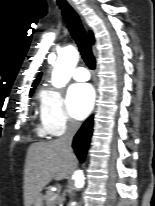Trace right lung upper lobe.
Listing matches in <instances>:
<instances>
[{"label":"right lung upper lobe","mask_w":155,"mask_h":206,"mask_svg":"<svg viewBox=\"0 0 155 206\" xmlns=\"http://www.w3.org/2000/svg\"><path fill=\"white\" fill-rule=\"evenodd\" d=\"M90 39H91V42L93 43L94 39H93V34H92L91 32H90ZM40 78H41V75H39V76L35 79V81H34V83H33V85H32V88H31L30 93H33L35 87L37 86L38 82L40 81Z\"/></svg>","instance_id":"obj_1"}]
</instances>
